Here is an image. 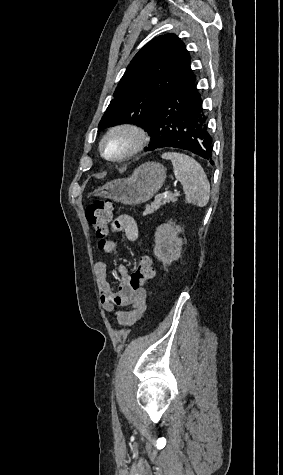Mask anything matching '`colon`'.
Wrapping results in <instances>:
<instances>
[{
	"label": "colon",
	"mask_w": 283,
	"mask_h": 475,
	"mask_svg": "<svg viewBox=\"0 0 283 475\" xmlns=\"http://www.w3.org/2000/svg\"><path fill=\"white\" fill-rule=\"evenodd\" d=\"M113 205L109 202L94 201L87 205L85 215L98 238V249H104L111 233V218ZM154 275L153 259L147 254H141L136 269L128 276V285L138 289L143 282L151 280Z\"/></svg>",
	"instance_id": "5ec220e1"
}]
</instances>
